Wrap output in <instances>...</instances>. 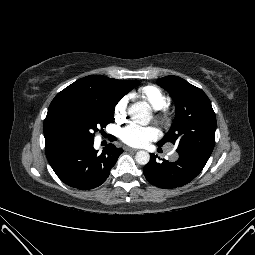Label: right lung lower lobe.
<instances>
[{
	"label": "right lung lower lobe",
	"mask_w": 255,
	"mask_h": 255,
	"mask_svg": "<svg viewBox=\"0 0 255 255\" xmlns=\"http://www.w3.org/2000/svg\"><path fill=\"white\" fill-rule=\"evenodd\" d=\"M93 143V140L67 139L45 147L52 169L65 184L90 190L108 178L123 149L108 144L97 154Z\"/></svg>",
	"instance_id": "right-lung-lower-lobe-1"
}]
</instances>
